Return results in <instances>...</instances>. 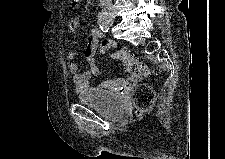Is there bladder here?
I'll return each mask as SVG.
<instances>
[{
    "mask_svg": "<svg viewBox=\"0 0 225 159\" xmlns=\"http://www.w3.org/2000/svg\"><path fill=\"white\" fill-rule=\"evenodd\" d=\"M77 100L109 118H118L124 113L123 99L100 86L80 90Z\"/></svg>",
    "mask_w": 225,
    "mask_h": 159,
    "instance_id": "31cf9c89",
    "label": "bladder"
}]
</instances>
